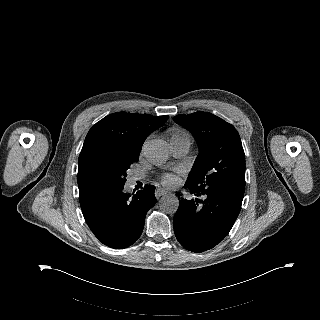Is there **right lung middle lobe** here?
Here are the masks:
<instances>
[{
	"label": "right lung middle lobe",
	"instance_id": "dd1d6c3e",
	"mask_svg": "<svg viewBox=\"0 0 320 320\" xmlns=\"http://www.w3.org/2000/svg\"><path fill=\"white\" fill-rule=\"evenodd\" d=\"M138 159L139 154L103 156L95 161L92 167V174L96 180L113 184H125L127 169Z\"/></svg>",
	"mask_w": 320,
	"mask_h": 320
}]
</instances>
